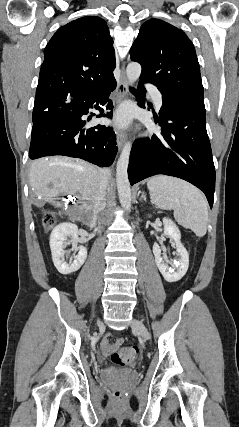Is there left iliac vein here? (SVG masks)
I'll return each mask as SVG.
<instances>
[{
	"mask_svg": "<svg viewBox=\"0 0 239 427\" xmlns=\"http://www.w3.org/2000/svg\"><path fill=\"white\" fill-rule=\"evenodd\" d=\"M132 327L135 328L136 330H138V332L140 333V335L145 340H148L150 338V334H149L147 328L145 327V325L143 324V322L141 320L134 319L132 321Z\"/></svg>",
	"mask_w": 239,
	"mask_h": 427,
	"instance_id": "1",
	"label": "left iliac vein"
}]
</instances>
